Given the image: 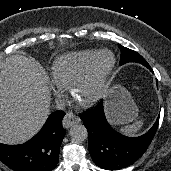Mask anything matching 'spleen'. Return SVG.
I'll return each instance as SVG.
<instances>
[{"mask_svg":"<svg viewBox=\"0 0 171 171\" xmlns=\"http://www.w3.org/2000/svg\"><path fill=\"white\" fill-rule=\"evenodd\" d=\"M143 120L137 121L133 123L132 125H128L125 127L120 128V132L126 136H137L138 132L142 129L143 127Z\"/></svg>","mask_w":171,"mask_h":171,"instance_id":"obj_1","label":"spleen"}]
</instances>
